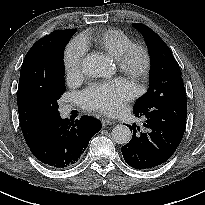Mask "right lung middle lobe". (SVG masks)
I'll return each mask as SVG.
<instances>
[{
  "label": "right lung middle lobe",
  "mask_w": 205,
  "mask_h": 205,
  "mask_svg": "<svg viewBox=\"0 0 205 205\" xmlns=\"http://www.w3.org/2000/svg\"><path fill=\"white\" fill-rule=\"evenodd\" d=\"M72 36L73 34L65 35L57 42L47 65L45 77L40 80V84L33 92L36 104L49 117L59 116L57 101L66 90L63 52Z\"/></svg>",
  "instance_id": "right-lung-middle-lobe-1"
}]
</instances>
